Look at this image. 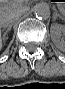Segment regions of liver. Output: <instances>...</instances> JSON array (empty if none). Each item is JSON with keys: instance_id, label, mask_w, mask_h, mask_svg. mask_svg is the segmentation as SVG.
I'll return each instance as SVG.
<instances>
[{"instance_id": "obj_1", "label": "liver", "mask_w": 65, "mask_h": 89, "mask_svg": "<svg viewBox=\"0 0 65 89\" xmlns=\"http://www.w3.org/2000/svg\"><path fill=\"white\" fill-rule=\"evenodd\" d=\"M26 9V6H23V2H19V6L16 8H12L9 10H6L2 5H1V10H0V18L3 17L4 19H9L11 16L21 13ZM9 25V24H8ZM1 28H3L4 26H6L5 24H1L0 23ZM7 38L3 35V32L1 30V37H0V41L1 44L3 41H5Z\"/></svg>"}]
</instances>
